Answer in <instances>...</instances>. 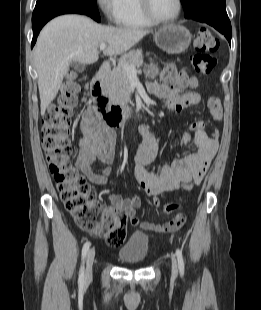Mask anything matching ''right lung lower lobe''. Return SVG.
Returning a JSON list of instances; mask_svg holds the SVG:
<instances>
[{
    "instance_id": "obj_1",
    "label": "right lung lower lobe",
    "mask_w": 261,
    "mask_h": 310,
    "mask_svg": "<svg viewBox=\"0 0 261 310\" xmlns=\"http://www.w3.org/2000/svg\"><path fill=\"white\" fill-rule=\"evenodd\" d=\"M69 13H78V14H82L79 12H74V11H68V10H54V11H49L46 12L42 15H40L39 17H37L36 19L32 20V27H33V40H32V45L31 47L34 46L36 40H37V36L40 32V30L42 29V27L52 18L58 16V15H62V14H69Z\"/></svg>"
}]
</instances>
